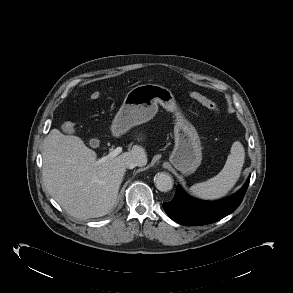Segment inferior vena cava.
<instances>
[{
  "mask_svg": "<svg viewBox=\"0 0 293 293\" xmlns=\"http://www.w3.org/2000/svg\"><path fill=\"white\" fill-rule=\"evenodd\" d=\"M124 165H125V167L128 168V169H133V168H135L136 166H140V162L137 161V160L134 159V158H127V159H125V161H124Z\"/></svg>",
  "mask_w": 293,
  "mask_h": 293,
  "instance_id": "obj_1",
  "label": "inferior vena cava"
}]
</instances>
